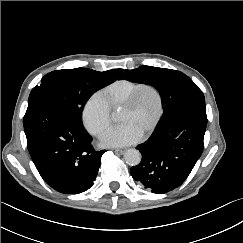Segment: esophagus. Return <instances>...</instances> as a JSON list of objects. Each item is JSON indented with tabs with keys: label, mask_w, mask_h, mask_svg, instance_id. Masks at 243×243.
Returning a JSON list of instances; mask_svg holds the SVG:
<instances>
[{
	"label": "esophagus",
	"mask_w": 243,
	"mask_h": 243,
	"mask_svg": "<svg viewBox=\"0 0 243 243\" xmlns=\"http://www.w3.org/2000/svg\"><path fill=\"white\" fill-rule=\"evenodd\" d=\"M125 151H126L125 149H114V152L118 154H124Z\"/></svg>",
	"instance_id": "obj_1"
}]
</instances>
